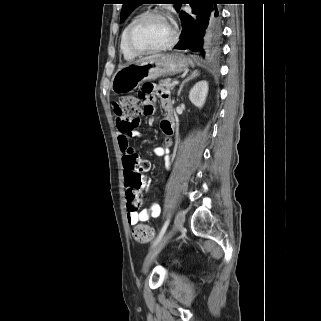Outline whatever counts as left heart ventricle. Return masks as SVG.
<instances>
[{
    "instance_id": "left-heart-ventricle-1",
    "label": "left heart ventricle",
    "mask_w": 321,
    "mask_h": 321,
    "mask_svg": "<svg viewBox=\"0 0 321 321\" xmlns=\"http://www.w3.org/2000/svg\"><path fill=\"white\" fill-rule=\"evenodd\" d=\"M172 36L170 24L160 17H149L134 31L133 44L139 49H153L166 44Z\"/></svg>"
}]
</instances>
